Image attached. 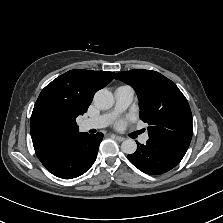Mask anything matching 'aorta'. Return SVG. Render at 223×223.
<instances>
[{
    "label": "aorta",
    "instance_id": "aorta-1",
    "mask_svg": "<svg viewBox=\"0 0 223 223\" xmlns=\"http://www.w3.org/2000/svg\"><path fill=\"white\" fill-rule=\"evenodd\" d=\"M94 104L101 110H108L114 104V96L108 89L103 88L96 92ZM137 149V144L133 139H126L121 144V150L126 154H133Z\"/></svg>",
    "mask_w": 223,
    "mask_h": 223
}]
</instances>
